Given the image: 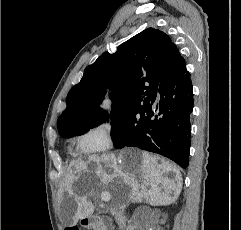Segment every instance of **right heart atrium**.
Segmentation results:
<instances>
[{
	"instance_id": "obj_1",
	"label": "right heart atrium",
	"mask_w": 241,
	"mask_h": 230,
	"mask_svg": "<svg viewBox=\"0 0 241 230\" xmlns=\"http://www.w3.org/2000/svg\"><path fill=\"white\" fill-rule=\"evenodd\" d=\"M80 148L88 153L106 152L115 145V135L112 125L100 122L91 127L79 139Z\"/></svg>"
}]
</instances>
